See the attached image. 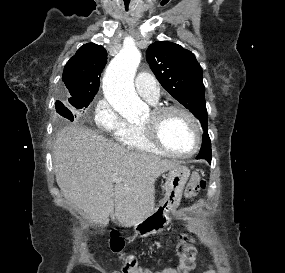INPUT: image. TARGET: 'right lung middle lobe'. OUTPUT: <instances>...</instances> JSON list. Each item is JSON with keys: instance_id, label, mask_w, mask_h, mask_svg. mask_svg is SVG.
Listing matches in <instances>:
<instances>
[{"instance_id": "1", "label": "right lung middle lobe", "mask_w": 285, "mask_h": 273, "mask_svg": "<svg viewBox=\"0 0 285 273\" xmlns=\"http://www.w3.org/2000/svg\"><path fill=\"white\" fill-rule=\"evenodd\" d=\"M93 100V98L91 99H86V100H68L70 102V104L77 108V109H81L84 107H88V105L90 104V102ZM56 111L63 116L64 118L73 121L74 120V116L72 114V112L64 106V104L60 101H56Z\"/></svg>"}]
</instances>
